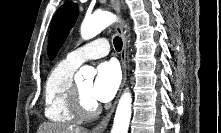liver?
<instances>
[{"mask_svg":"<svg viewBox=\"0 0 221 133\" xmlns=\"http://www.w3.org/2000/svg\"><path fill=\"white\" fill-rule=\"evenodd\" d=\"M38 133H90L87 129L58 123H43Z\"/></svg>","mask_w":221,"mask_h":133,"instance_id":"liver-1","label":"liver"}]
</instances>
